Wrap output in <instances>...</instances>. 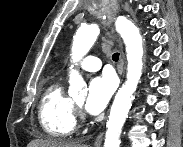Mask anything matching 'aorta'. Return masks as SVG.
Here are the masks:
<instances>
[{"label": "aorta", "mask_w": 183, "mask_h": 147, "mask_svg": "<svg viewBox=\"0 0 183 147\" xmlns=\"http://www.w3.org/2000/svg\"><path fill=\"white\" fill-rule=\"evenodd\" d=\"M114 22L117 32L121 35L126 45L127 80L118 90L111 106L104 147H119L120 145L122 127L131 108V99L137 89L143 67L142 36L138 28L123 16L114 18ZM99 32V25L96 23L81 26L77 30L72 44L71 56L73 63L79 62L89 52ZM69 84L68 93L71 97H75L78 94L83 96L87 94L86 83L79 72L73 69V65L69 75Z\"/></svg>", "instance_id": "762f6f07"}]
</instances>
